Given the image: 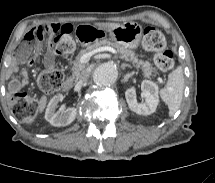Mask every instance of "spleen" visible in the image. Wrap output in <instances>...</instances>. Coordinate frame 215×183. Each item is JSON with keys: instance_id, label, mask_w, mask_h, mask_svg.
Returning a JSON list of instances; mask_svg holds the SVG:
<instances>
[{"instance_id": "obj_1", "label": "spleen", "mask_w": 215, "mask_h": 183, "mask_svg": "<svg viewBox=\"0 0 215 183\" xmlns=\"http://www.w3.org/2000/svg\"><path fill=\"white\" fill-rule=\"evenodd\" d=\"M184 91V77L181 67H177L168 75L166 87L160 90L161 99L167 104L169 108V115L179 109Z\"/></svg>"}]
</instances>
